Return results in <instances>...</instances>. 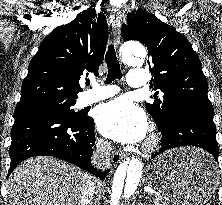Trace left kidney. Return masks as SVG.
Wrapping results in <instances>:
<instances>
[{"instance_id": "obj_1", "label": "left kidney", "mask_w": 222, "mask_h": 205, "mask_svg": "<svg viewBox=\"0 0 222 205\" xmlns=\"http://www.w3.org/2000/svg\"><path fill=\"white\" fill-rule=\"evenodd\" d=\"M137 205H144L143 203H139V204H137Z\"/></svg>"}]
</instances>
